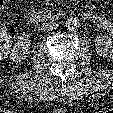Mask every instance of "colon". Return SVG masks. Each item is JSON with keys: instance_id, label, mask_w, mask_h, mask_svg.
<instances>
[{"instance_id": "1", "label": "colon", "mask_w": 113, "mask_h": 113, "mask_svg": "<svg viewBox=\"0 0 113 113\" xmlns=\"http://www.w3.org/2000/svg\"><path fill=\"white\" fill-rule=\"evenodd\" d=\"M2 2L3 0H0V5ZM13 37L14 34L10 29L6 27H0V59L4 57V55L10 48Z\"/></svg>"}]
</instances>
